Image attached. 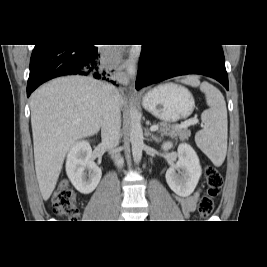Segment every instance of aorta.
<instances>
[{
	"instance_id": "obj_1",
	"label": "aorta",
	"mask_w": 267,
	"mask_h": 267,
	"mask_svg": "<svg viewBox=\"0 0 267 267\" xmlns=\"http://www.w3.org/2000/svg\"><path fill=\"white\" fill-rule=\"evenodd\" d=\"M141 53L140 45H132L129 58L126 61L127 73L130 78L136 74V66ZM130 141L132 145V155L135 162H139L142 158L143 150V130L140 122V113L135 107L130 108Z\"/></svg>"
}]
</instances>
